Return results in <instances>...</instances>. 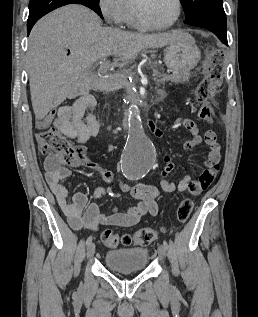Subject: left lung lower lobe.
I'll return each mask as SVG.
<instances>
[{"mask_svg":"<svg viewBox=\"0 0 258 317\" xmlns=\"http://www.w3.org/2000/svg\"><path fill=\"white\" fill-rule=\"evenodd\" d=\"M201 28H205L211 32H213L224 44H228L227 43V33H226V29H220L217 27H201Z\"/></svg>","mask_w":258,"mask_h":317,"instance_id":"obj_1","label":"left lung lower lobe"}]
</instances>
